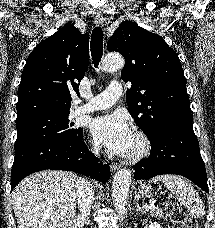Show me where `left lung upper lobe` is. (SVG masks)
<instances>
[{"instance_id": "obj_1", "label": "left lung upper lobe", "mask_w": 215, "mask_h": 228, "mask_svg": "<svg viewBox=\"0 0 215 228\" xmlns=\"http://www.w3.org/2000/svg\"><path fill=\"white\" fill-rule=\"evenodd\" d=\"M107 49L125 58L121 78L131 83L126 92L128 111L150 141L163 128L192 123L179 57L161 36L124 21L109 39Z\"/></svg>"}]
</instances>
